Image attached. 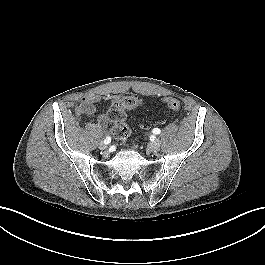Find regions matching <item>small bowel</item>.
I'll return each instance as SVG.
<instances>
[{
  "instance_id": "1",
  "label": "small bowel",
  "mask_w": 265,
  "mask_h": 265,
  "mask_svg": "<svg viewBox=\"0 0 265 265\" xmlns=\"http://www.w3.org/2000/svg\"><path fill=\"white\" fill-rule=\"evenodd\" d=\"M100 100L101 96L98 94L84 95L80 100V109L84 110L87 114L93 115L95 113V104ZM96 122L98 126L102 128L106 127L107 119L105 114H99L96 118Z\"/></svg>"
}]
</instances>
